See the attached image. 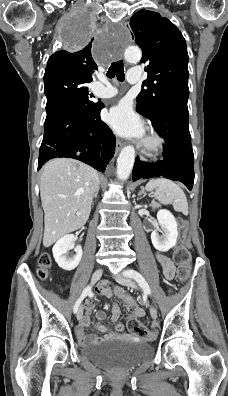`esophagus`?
<instances>
[{"mask_svg":"<svg viewBox=\"0 0 228 396\" xmlns=\"http://www.w3.org/2000/svg\"><path fill=\"white\" fill-rule=\"evenodd\" d=\"M122 146H123V142L121 141V140H117L116 141V153H118L119 151H120V149L122 148Z\"/></svg>","mask_w":228,"mask_h":396,"instance_id":"34e87169","label":"esophagus"}]
</instances>
